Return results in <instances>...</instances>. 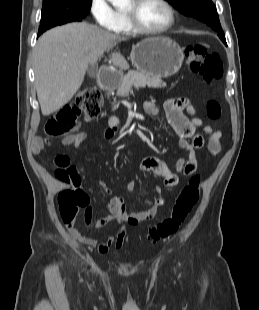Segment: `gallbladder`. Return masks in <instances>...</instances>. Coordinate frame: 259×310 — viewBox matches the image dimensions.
I'll return each mask as SVG.
<instances>
[{
    "mask_svg": "<svg viewBox=\"0 0 259 310\" xmlns=\"http://www.w3.org/2000/svg\"><path fill=\"white\" fill-rule=\"evenodd\" d=\"M90 77H91V78H94L95 76H94V74H93V73H90Z\"/></svg>",
    "mask_w": 259,
    "mask_h": 310,
    "instance_id": "bac80fb5",
    "label": "gallbladder"
}]
</instances>
